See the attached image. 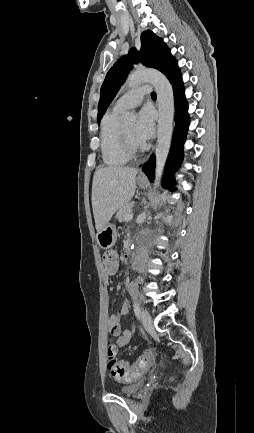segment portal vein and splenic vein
<instances>
[{"instance_id": "1", "label": "portal vein and splenic vein", "mask_w": 254, "mask_h": 433, "mask_svg": "<svg viewBox=\"0 0 254 433\" xmlns=\"http://www.w3.org/2000/svg\"><path fill=\"white\" fill-rule=\"evenodd\" d=\"M132 218H133V214H129V215L126 217V221L132 220Z\"/></svg>"}]
</instances>
